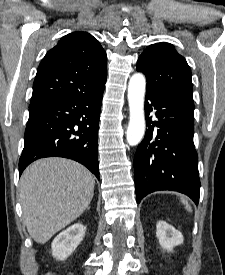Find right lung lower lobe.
<instances>
[{
	"label": "right lung lower lobe",
	"instance_id": "98d812e1",
	"mask_svg": "<svg viewBox=\"0 0 225 275\" xmlns=\"http://www.w3.org/2000/svg\"><path fill=\"white\" fill-rule=\"evenodd\" d=\"M104 78L89 94L66 96L29 107L19 174L33 161L50 156L73 159L98 179V126Z\"/></svg>",
	"mask_w": 225,
	"mask_h": 275
}]
</instances>
